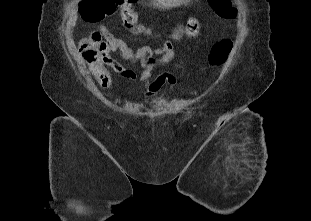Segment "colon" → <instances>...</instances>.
<instances>
[{"mask_svg": "<svg viewBox=\"0 0 311 221\" xmlns=\"http://www.w3.org/2000/svg\"><path fill=\"white\" fill-rule=\"evenodd\" d=\"M84 2L85 5L80 7V22H95L96 17H120L122 13V22L125 28L131 31H135L138 28V14L134 9L135 0H84ZM206 3L211 4L212 9L219 11L217 12V19L230 20L232 17H235L232 0H206ZM97 23L99 24L100 22L98 21ZM182 28L191 38H197L201 33V23L194 17L186 20ZM78 48L88 62L94 79L101 87L105 88L111 82L107 62L112 51V45L108 42V38L102 37L96 31H92L87 36L81 38ZM232 49V40L224 39L218 42L211 49L210 63L216 66L223 64L229 57Z\"/></svg>", "mask_w": 311, "mask_h": 221, "instance_id": "5ec220e1", "label": "colon"}]
</instances>
